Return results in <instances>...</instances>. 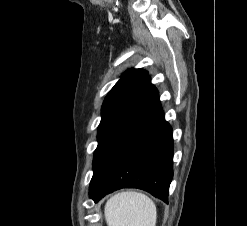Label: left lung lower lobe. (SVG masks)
Masks as SVG:
<instances>
[{
  "label": "left lung lower lobe",
  "mask_w": 247,
  "mask_h": 226,
  "mask_svg": "<svg viewBox=\"0 0 247 226\" xmlns=\"http://www.w3.org/2000/svg\"><path fill=\"white\" fill-rule=\"evenodd\" d=\"M172 159V129L146 76L98 135L89 196L140 188L167 202Z\"/></svg>",
  "instance_id": "1"
}]
</instances>
